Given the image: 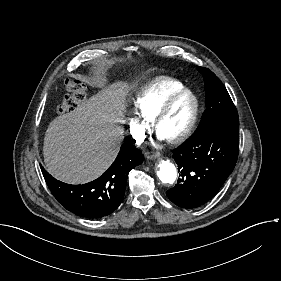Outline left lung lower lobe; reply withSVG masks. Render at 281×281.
I'll return each instance as SVG.
<instances>
[{
  "label": "left lung lower lobe",
  "mask_w": 281,
  "mask_h": 281,
  "mask_svg": "<svg viewBox=\"0 0 281 281\" xmlns=\"http://www.w3.org/2000/svg\"><path fill=\"white\" fill-rule=\"evenodd\" d=\"M239 151V127L198 126L192 137L173 150L181 178L166 192L182 208H196L213 198L233 171Z\"/></svg>",
  "instance_id": "obj_1"
}]
</instances>
